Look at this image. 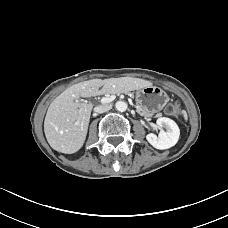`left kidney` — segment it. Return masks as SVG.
<instances>
[{
    "label": "left kidney",
    "mask_w": 228,
    "mask_h": 228,
    "mask_svg": "<svg viewBox=\"0 0 228 228\" xmlns=\"http://www.w3.org/2000/svg\"><path fill=\"white\" fill-rule=\"evenodd\" d=\"M160 128L159 135L149 133L147 141L156 149L164 150L173 147L179 140L180 130L177 124L170 118L161 117L156 121ZM165 128L166 130H163Z\"/></svg>",
    "instance_id": "obj_1"
}]
</instances>
